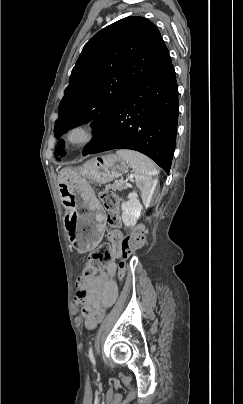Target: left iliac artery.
Wrapping results in <instances>:
<instances>
[{
	"mask_svg": "<svg viewBox=\"0 0 243 404\" xmlns=\"http://www.w3.org/2000/svg\"><path fill=\"white\" fill-rule=\"evenodd\" d=\"M89 358H90L92 364L95 365V358H94V355H93L92 347L89 348Z\"/></svg>",
	"mask_w": 243,
	"mask_h": 404,
	"instance_id": "obj_1",
	"label": "left iliac artery"
}]
</instances>
